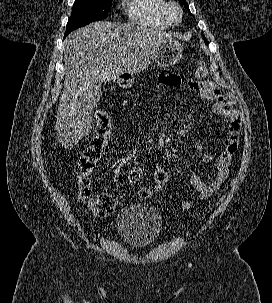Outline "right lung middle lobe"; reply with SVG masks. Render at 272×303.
<instances>
[{
	"label": "right lung middle lobe",
	"mask_w": 272,
	"mask_h": 303,
	"mask_svg": "<svg viewBox=\"0 0 272 303\" xmlns=\"http://www.w3.org/2000/svg\"><path fill=\"white\" fill-rule=\"evenodd\" d=\"M111 2L112 0H76L67 23L65 36L93 21L105 19L110 12Z\"/></svg>",
	"instance_id": "right-lung-middle-lobe-1"
}]
</instances>
